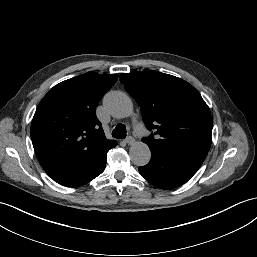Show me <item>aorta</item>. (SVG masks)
Segmentation results:
<instances>
[{
  "label": "aorta",
  "mask_w": 257,
  "mask_h": 257,
  "mask_svg": "<svg viewBox=\"0 0 257 257\" xmlns=\"http://www.w3.org/2000/svg\"><path fill=\"white\" fill-rule=\"evenodd\" d=\"M107 111L116 118H126L132 114L133 104L130 97L119 91L108 93L104 98ZM129 156L133 164L145 166L151 158V151L147 144L136 142L129 149Z\"/></svg>",
  "instance_id": "aorta-1"
}]
</instances>
